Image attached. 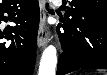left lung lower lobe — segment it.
<instances>
[{"instance_id": "left-lung-lower-lobe-1", "label": "left lung lower lobe", "mask_w": 107, "mask_h": 75, "mask_svg": "<svg viewBox=\"0 0 107 75\" xmlns=\"http://www.w3.org/2000/svg\"><path fill=\"white\" fill-rule=\"evenodd\" d=\"M87 1L89 0H72L69 4L76 9ZM75 9L68 8L64 17ZM65 20L57 26L63 53L59 58L56 75H64L77 69H107V13L82 16L84 40Z\"/></svg>"}]
</instances>
